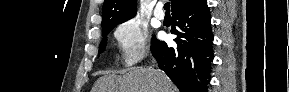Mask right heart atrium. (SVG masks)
Returning a JSON list of instances; mask_svg holds the SVG:
<instances>
[{
  "label": "right heart atrium",
  "instance_id": "right-heart-atrium-1",
  "mask_svg": "<svg viewBox=\"0 0 289 92\" xmlns=\"http://www.w3.org/2000/svg\"><path fill=\"white\" fill-rule=\"evenodd\" d=\"M114 37L126 66H134L149 52L148 30L138 19L120 23L114 30Z\"/></svg>",
  "mask_w": 289,
  "mask_h": 92
}]
</instances>
